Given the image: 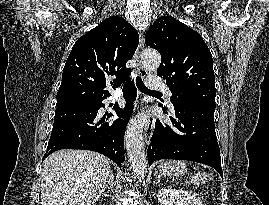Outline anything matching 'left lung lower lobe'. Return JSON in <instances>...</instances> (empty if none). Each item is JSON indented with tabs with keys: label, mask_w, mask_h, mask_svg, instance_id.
<instances>
[{
	"label": "left lung lower lobe",
	"mask_w": 269,
	"mask_h": 205,
	"mask_svg": "<svg viewBox=\"0 0 269 205\" xmlns=\"http://www.w3.org/2000/svg\"><path fill=\"white\" fill-rule=\"evenodd\" d=\"M215 107L208 102L174 106L173 115L164 108L172 125L156 121L147 149L149 166L159 159L188 160L211 166L223 178L214 125Z\"/></svg>",
	"instance_id": "0a47b994"
}]
</instances>
